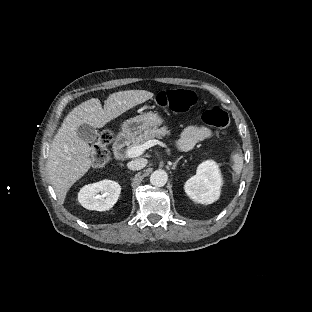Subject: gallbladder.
Listing matches in <instances>:
<instances>
[{"mask_svg": "<svg viewBox=\"0 0 312 312\" xmlns=\"http://www.w3.org/2000/svg\"><path fill=\"white\" fill-rule=\"evenodd\" d=\"M77 135L85 142L93 144L97 142V130L90 125L82 124L77 129Z\"/></svg>", "mask_w": 312, "mask_h": 312, "instance_id": "1", "label": "gallbladder"}]
</instances>
